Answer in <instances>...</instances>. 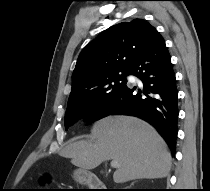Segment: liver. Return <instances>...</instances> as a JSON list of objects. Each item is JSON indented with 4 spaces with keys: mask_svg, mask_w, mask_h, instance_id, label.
<instances>
[{
    "mask_svg": "<svg viewBox=\"0 0 210 191\" xmlns=\"http://www.w3.org/2000/svg\"><path fill=\"white\" fill-rule=\"evenodd\" d=\"M92 140L68 144L60 155L84 170H92L106 160H117L115 183L135 179L166 177L171 154L157 131L135 117L109 116L96 122Z\"/></svg>",
    "mask_w": 210,
    "mask_h": 191,
    "instance_id": "6515ba94",
    "label": "liver"
}]
</instances>
